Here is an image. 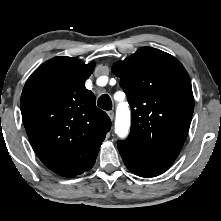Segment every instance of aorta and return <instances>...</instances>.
I'll return each mask as SVG.
<instances>
[{"label": "aorta", "instance_id": "obj_1", "mask_svg": "<svg viewBox=\"0 0 221 221\" xmlns=\"http://www.w3.org/2000/svg\"><path fill=\"white\" fill-rule=\"evenodd\" d=\"M130 128V111L126 106H119L116 113L115 132L120 138L128 136Z\"/></svg>", "mask_w": 221, "mask_h": 221}]
</instances>
